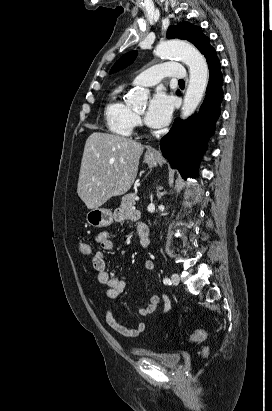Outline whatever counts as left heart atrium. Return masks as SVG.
<instances>
[{
  "label": "left heart atrium",
  "instance_id": "39dd6f15",
  "mask_svg": "<svg viewBox=\"0 0 272 411\" xmlns=\"http://www.w3.org/2000/svg\"><path fill=\"white\" fill-rule=\"evenodd\" d=\"M173 110L172 98L164 91H157L151 98L145 113V122L153 128L165 126L171 117Z\"/></svg>",
  "mask_w": 272,
  "mask_h": 411
}]
</instances>
